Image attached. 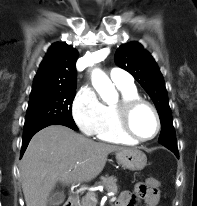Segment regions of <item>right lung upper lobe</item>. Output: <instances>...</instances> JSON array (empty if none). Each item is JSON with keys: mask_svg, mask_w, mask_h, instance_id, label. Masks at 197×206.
Listing matches in <instances>:
<instances>
[{"mask_svg": "<svg viewBox=\"0 0 197 206\" xmlns=\"http://www.w3.org/2000/svg\"><path fill=\"white\" fill-rule=\"evenodd\" d=\"M77 57L78 51L73 47L54 43L40 64L32 90L76 87Z\"/></svg>", "mask_w": 197, "mask_h": 206, "instance_id": "right-lung-upper-lobe-1", "label": "right lung upper lobe"}]
</instances>
